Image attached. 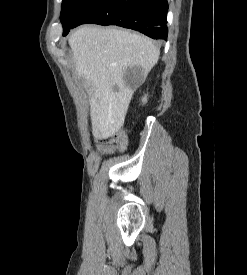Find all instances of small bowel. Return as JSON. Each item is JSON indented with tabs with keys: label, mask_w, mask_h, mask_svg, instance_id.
Listing matches in <instances>:
<instances>
[{
	"label": "small bowel",
	"mask_w": 247,
	"mask_h": 275,
	"mask_svg": "<svg viewBox=\"0 0 247 275\" xmlns=\"http://www.w3.org/2000/svg\"><path fill=\"white\" fill-rule=\"evenodd\" d=\"M125 149L123 145L120 146H102L100 150L105 154H113L116 152H121Z\"/></svg>",
	"instance_id": "obj_1"
}]
</instances>
